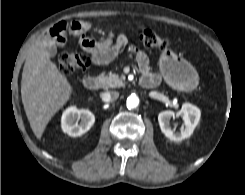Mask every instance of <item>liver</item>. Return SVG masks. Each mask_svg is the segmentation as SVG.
I'll return each mask as SVG.
<instances>
[{
	"label": "liver",
	"instance_id": "liver-1",
	"mask_svg": "<svg viewBox=\"0 0 245 195\" xmlns=\"http://www.w3.org/2000/svg\"><path fill=\"white\" fill-rule=\"evenodd\" d=\"M55 40L36 44L29 51L22 72L21 98L31 129L38 139L72 94L68 79L50 60Z\"/></svg>",
	"mask_w": 245,
	"mask_h": 195
}]
</instances>
